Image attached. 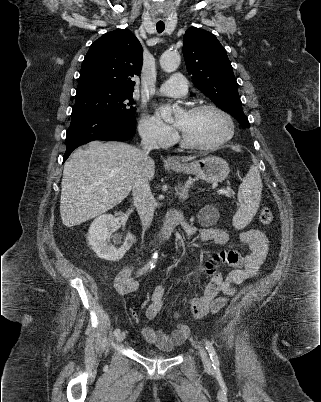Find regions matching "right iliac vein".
Returning a JSON list of instances; mask_svg holds the SVG:
<instances>
[{
    "label": "right iliac vein",
    "mask_w": 321,
    "mask_h": 402,
    "mask_svg": "<svg viewBox=\"0 0 321 402\" xmlns=\"http://www.w3.org/2000/svg\"><path fill=\"white\" fill-rule=\"evenodd\" d=\"M126 337V334L124 332H121L117 335L116 340L117 342H122Z\"/></svg>",
    "instance_id": "obj_1"
}]
</instances>
